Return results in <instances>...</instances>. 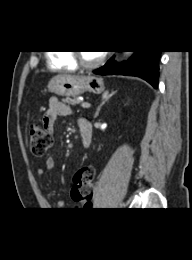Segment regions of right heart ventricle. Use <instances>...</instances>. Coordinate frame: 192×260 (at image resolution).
Listing matches in <instances>:
<instances>
[{"mask_svg": "<svg viewBox=\"0 0 192 260\" xmlns=\"http://www.w3.org/2000/svg\"><path fill=\"white\" fill-rule=\"evenodd\" d=\"M48 64L53 70L74 71L77 69V64L73 60L69 51H59L51 53L48 57Z\"/></svg>", "mask_w": 192, "mask_h": 260, "instance_id": "obj_1", "label": "right heart ventricle"}]
</instances>
